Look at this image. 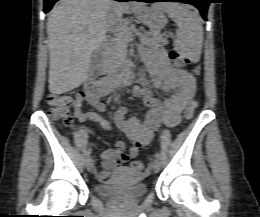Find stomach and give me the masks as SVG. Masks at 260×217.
I'll list each match as a JSON object with an SVG mask.
<instances>
[{
	"mask_svg": "<svg viewBox=\"0 0 260 217\" xmlns=\"http://www.w3.org/2000/svg\"><path fill=\"white\" fill-rule=\"evenodd\" d=\"M134 12L137 18L151 30H160L166 24V18L162 11L154 6L140 5L134 9Z\"/></svg>",
	"mask_w": 260,
	"mask_h": 217,
	"instance_id": "obj_1",
	"label": "stomach"
}]
</instances>
